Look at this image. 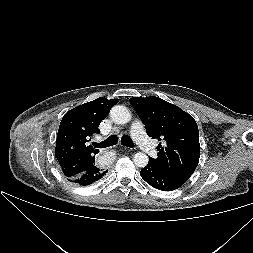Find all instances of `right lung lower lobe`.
I'll list each match as a JSON object with an SVG mask.
<instances>
[{
    "instance_id": "right-lung-lower-lobe-1",
    "label": "right lung lower lobe",
    "mask_w": 253,
    "mask_h": 253,
    "mask_svg": "<svg viewBox=\"0 0 253 253\" xmlns=\"http://www.w3.org/2000/svg\"><path fill=\"white\" fill-rule=\"evenodd\" d=\"M107 171L108 170H102L94 165L83 174L69 180L79 186H87L100 180L107 173Z\"/></svg>"
}]
</instances>
